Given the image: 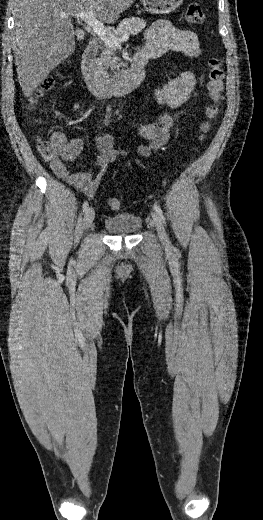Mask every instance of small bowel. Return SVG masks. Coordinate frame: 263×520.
<instances>
[{
  "mask_svg": "<svg viewBox=\"0 0 263 520\" xmlns=\"http://www.w3.org/2000/svg\"><path fill=\"white\" fill-rule=\"evenodd\" d=\"M145 44L141 51L151 58L159 57L167 51H177L192 58L200 55L199 41L195 33L180 29L166 20L156 21L146 32ZM196 84L193 72L185 71L179 77L158 87L155 96L159 104L172 108L181 106L189 97ZM175 126L174 117L163 113L149 124H134L137 133L149 142L139 147L141 155H148L159 149L170 139ZM51 141L56 148V156L51 162L54 173L67 181L86 197L94 196L109 164L117 157L125 156V151L113 148V139L109 134H101L97 138V146L101 152L94 161V170L70 174L67 163H74L83 149V140L75 137L68 140L64 133L54 132Z\"/></svg>",
  "mask_w": 263,
  "mask_h": 520,
  "instance_id": "obj_1",
  "label": "small bowel"
}]
</instances>
